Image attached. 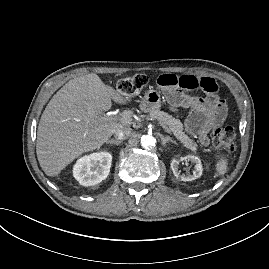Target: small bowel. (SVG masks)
<instances>
[{"instance_id": "1", "label": "small bowel", "mask_w": 269, "mask_h": 269, "mask_svg": "<svg viewBox=\"0 0 269 269\" xmlns=\"http://www.w3.org/2000/svg\"><path fill=\"white\" fill-rule=\"evenodd\" d=\"M159 87L166 90L186 88H200L208 94L205 98L190 97L174 90L170 93V102L174 106L188 105L192 108L186 128L189 132L198 135L202 145H208L209 131L224 122L227 116V106L223 99L216 93L218 86L213 77L203 75H182L162 74L157 79Z\"/></svg>"}]
</instances>
